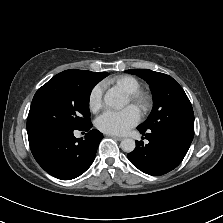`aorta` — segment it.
<instances>
[{"label":"aorta","mask_w":223,"mask_h":223,"mask_svg":"<svg viewBox=\"0 0 223 223\" xmlns=\"http://www.w3.org/2000/svg\"><path fill=\"white\" fill-rule=\"evenodd\" d=\"M104 102L109 107L123 108L126 99L119 94L117 89L111 88L106 92ZM120 147L124 152L130 153L135 149V141L131 138H125L121 141Z\"/></svg>","instance_id":"762f6f07"}]
</instances>
